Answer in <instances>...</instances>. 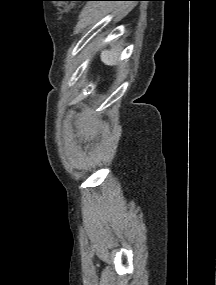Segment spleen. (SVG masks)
Returning a JSON list of instances; mask_svg holds the SVG:
<instances>
[{
    "mask_svg": "<svg viewBox=\"0 0 216 285\" xmlns=\"http://www.w3.org/2000/svg\"><path fill=\"white\" fill-rule=\"evenodd\" d=\"M119 56V50H103L100 54L101 61L108 66L116 65L117 58Z\"/></svg>",
    "mask_w": 216,
    "mask_h": 285,
    "instance_id": "3e777b00",
    "label": "spleen"
}]
</instances>
